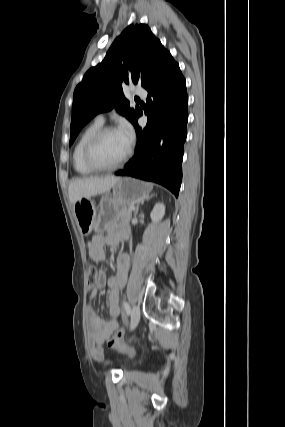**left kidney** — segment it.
Wrapping results in <instances>:
<instances>
[{
  "instance_id": "5707ae66",
  "label": "left kidney",
  "mask_w": 285,
  "mask_h": 427,
  "mask_svg": "<svg viewBox=\"0 0 285 427\" xmlns=\"http://www.w3.org/2000/svg\"><path fill=\"white\" fill-rule=\"evenodd\" d=\"M164 214H165L164 204L163 203H157L154 206L150 216H151L152 221L159 222L164 217Z\"/></svg>"
}]
</instances>
